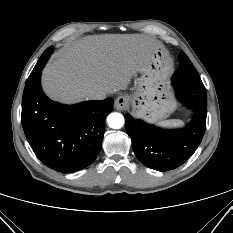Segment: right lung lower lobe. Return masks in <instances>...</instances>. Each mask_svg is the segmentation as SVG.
<instances>
[{
  "label": "right lung lower lobe",
  "instance_id": "1",
  "mask_svg": "<svg viewBox=\"0 0 233 233\" xmlns=\"http://www.w3.org/2000/svg\"><path fill=\"white\" fill-rule=\"evenodd\" d=\"M50 56L44 52L35 75L23 92L21 122L38 159L49 168L73 173L89 166L102 147L111 98L66 106L50 100L40 84L41 71Z\"/></svg>",
  "mask_w": 233,
  "mask_h": 233
}]
</instances>
